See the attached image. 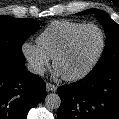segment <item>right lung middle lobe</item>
I'll list each match as a JSON object with an SVG mask.
<instances>
[{
  "mask_svg": "<svg viewBox=\"0 0 119 119\" xmlns=\"http://www.w3.org/2000/svg\"><path fill=\"white\" fill-rule=\"evenodd\" d=\"M39 28V25L26 18L0 16V62H24L22 44Z\"/></svg>",
  "mask_w": 119,
  "mask_h": 119,
  "instance_id": "obj_1",
  "label": "right lung middle lobe"
}]
</instances>
